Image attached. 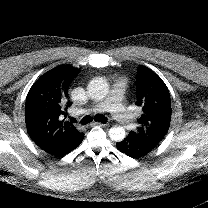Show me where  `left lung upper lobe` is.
Returning a JSON list of instances; mask_svg holds the SVG:
<instances>
[{
  "label": "left lung upper lobe",
  "instance_id": "left-lung-upper-lobe-1",
  "mask_svg": "<svg viewBox=\"0 0 208 208\" xmlns=\"http://www.w3.org/2000/svg\"><path fill=\"white\" fill-rule=\"evenodd\" d=\"M136 105L143 114L136 131L128 136L151 145H158L166 135L171 120V99L167 86L151 69L140 65L136 79Z\"/></svg>",
  "mask_w": 208,
  "mask_h": 208
}]
</instances>
